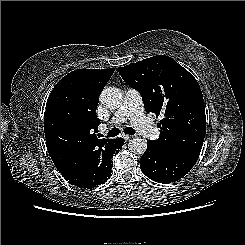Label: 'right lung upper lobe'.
Masks as SVG:
<instances>
[{"label": "right lung upper lobe", "mask_w": 245, "mask_h": 245, "mask_svg": "<svg viewBox=\"0 0 245 245\" xmlns=\"http://www.w3.org/2000/svg\"><path fill=\"white\" fill-rule=\"evenodd\" d=\"M115 68L78 69L53 88L44 113L46 146L52 161L77 164L86 153L109 139L96 135L99 96Z\"/></svg>", "instance_id": "right-lung-upper-lobe-1"}]
</instances>
